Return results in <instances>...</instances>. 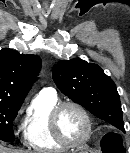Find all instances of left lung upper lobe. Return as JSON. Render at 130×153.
I'll list each match as a JSON object with an SVG mask.
<instances>
[{
	"label": "left lung upper lobe",
	"mask_w": 130,
	"mask_h": 153,
	"mask_svg": "<svg viewBox=\"0 0 130 153\" xmlns=\"http://www.w3.org/2000/svg\"><path fill=\"white\" fill-rule=\"evenodd\" d=\"M53 80L70 99L96 117L124 131L119 94L101 67L79 58L61 60L53 68Z\"/></svg>",
	"instance_id": "5c2ea615"
}]
</instances>
